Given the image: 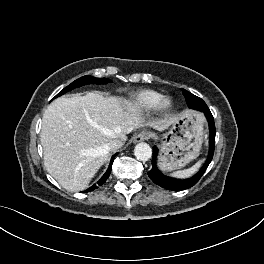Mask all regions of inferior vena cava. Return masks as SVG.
<instances>
[{"mask_svg":"<svg viewBox=\"0 0 264 264\" xmlns=\"http://www.w3.org/2000/svg\"><path fill=\"white\" fill-rule=\"evenodd\" d=\"M123 146V142L120 140H112L108 143L109 150H116Z\"/></svg>","mask_w":264,"mask_h":264,"instance_id":"inferior-vena-cava-1","label":"inferior vena cava"}]
</instances>
